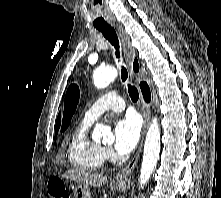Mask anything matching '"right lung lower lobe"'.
Here are the masks:
<instances>
[{
    "instance_id": "98d812e1",
    "label": "right lung lower lobe",
    "mask_w": 221,
    "mask_h": 198,
    "mask_svg": "<svg viewBox=\"0 0 221 198\" xmlns=\"http://www.w3.org/2000/svg\"><path fill=\"white\" fill-rule=\"evenodd\" d=\"M144 99L149 102L150 101V89L148 87V85L145 82H142L140 84Z\"/></svg>"
}]
</instances>
